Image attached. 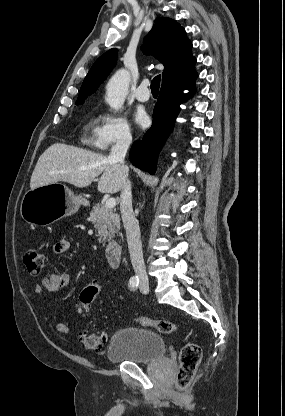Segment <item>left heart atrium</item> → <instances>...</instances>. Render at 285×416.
<instances>
[{
	"label": "left heart atrium",
	"mask_w": 285,
	"mask_h": 416,
	"mask_svg": "<svg viewBox=\"0 0 285 416\" xmlns=\"http://www.w3.org/2000/svg\"><path fill=\"white\" fill-rule=\"evenodd\" d=\"M134 119L139 126H144L147 122V115L143 110H137L134 114Z\"/></svg>",
	"instance_id": "39dd6f15"
}]
</instances>
